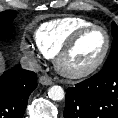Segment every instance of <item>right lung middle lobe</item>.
<instances>
[{"label": "right lung middle lobe", "mask_w": 118, "mask_h": 118, "mask_svg": "<svg viewBox=\"0 0 118 118\" xmlns=\"http://www.w3.org/2000/svg\"><path fill=\"white\" fill-rule=\"evenodd\" d=\"M16 14V11L11 10L0 13V33L9 31L12 20L15 18Z\"/></svg>", "instance_id": "right-lung-middle-lobe-1"}]
</instances>
